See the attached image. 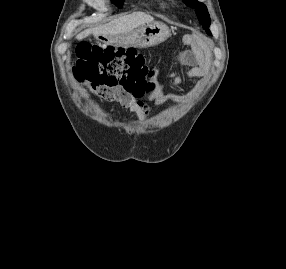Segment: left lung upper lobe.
I'll return each mask as SVG.
<instances>
[{"mask_svg": "<svg viewBox=\"0 0 286 269\" xmlns=\"http://www.w3.org/2000/svg\"><path fill=\"white\" fill-rule=\"evenodd\" d=\"M184 2L190 6L191 8H196V14L198 16L199 21L203 24V28L206 29V32L211 35L209 30L210 26V16L207 10V7L197 0H184Z\"/></svg>", "mask_w": 286, "mask_h": 269, "instance_id": "left-lung-upper-lobe-1", "label": "left lung upper lobe"}]
</instances>
